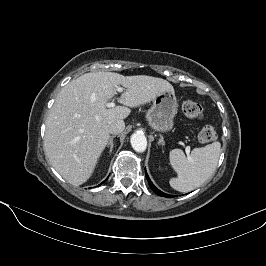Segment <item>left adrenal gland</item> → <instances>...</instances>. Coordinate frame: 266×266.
Wrapping results in <instances>:
<instances>
[{
    "label": "left adrenal gland",
    "mask_w": 266,
    "mask_h": 266,
    "mask_svg": "<svg viewBox=\"0 0 266 266\" xmlns=\"http://www.w3.org/2000/svg\"><path fill=\"white\" fill-rule=\"evenodd\" d=\"M158 144H159V145H162V146L165 144V142H164V138H163L162 135H160V139H159Z\"/></svg>",
    "instance_id": "a2214340"
}]
</instances>
